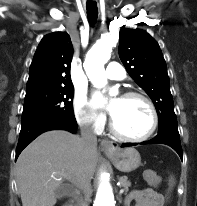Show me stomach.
Masks as SVG:
<instances>
[{
    "label": "stomach",
    "instance_id": "stomach-1",
    "mask_svg": "<svg viewBox=\"0 0 197 206\" xmlns=\"http://www.w3.org/2000/svg\"><path fill=\"white\" fill-rule=\"evenodd\" d=\"M112 160L115 167L125 173L134 171L141 165V156L139 152L132 147L125 149H116L114 152L106 153Z\"/></svg>",
    "mask_w": 197,
    "mask_h": 206
}]
</instances>
